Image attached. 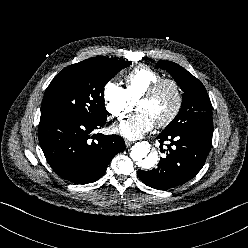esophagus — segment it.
I'll return each instance as SVG.
<instances>
[{
    "label": "esophagus",
    "mask_w": 248,
    "mask_h": 248,
    "mask_svg": "<svg viewBox=\"0 0 248 248\" xmlns=\"http://www.w3.org/2000/svg\"><path fill=\"white\" fill-rule=\"evenodd\" d=\"M132 144H133L132 141H130V140H125V145H126V147H130Z\"/></svg>",
    "instance_id": "1"
}]
</instances>
